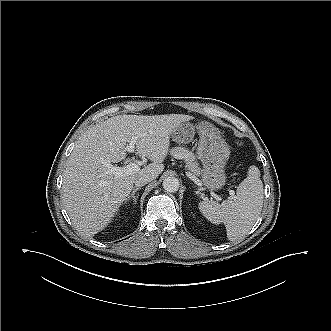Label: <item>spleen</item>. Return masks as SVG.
Masks as SVG:
<instances>
[{
    "mask_svg": "<svg viewBox=\"0 0 331 331\" xmlns=\"http://www.w3.org/2000/svg\"><path fill=\"white\" fill-rule=\"evenodd\" d=\"M236 192V196L221 204L211 200L199 203L200 211L210 222L225 224L230 240H237L248 233L262 203L263 184L253 168Z\"/></svg>",
    "mask_w": 331,
    "mask_h": 331,
    "instance_id": "3e777b00",
    "label": "spleen"
}]
</instances>
